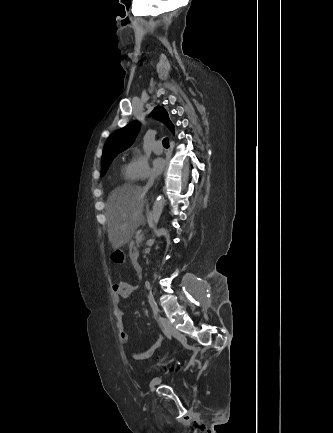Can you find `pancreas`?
<instances>
[{
    "label": "pancreas",
    "mask_w": 333,
    "mask_h": 433,
    "mask_svg": "<svg viewBox=\"0 0 333 433\" xmlns=\"http://www.w3.org/2000/svg\"><path fill=\"white\" fill-rule=\"evenodd\" d=\"M140 247V242H131L129 245V257L133 263V265L137 264V259L139 256L138 248Z\"/></svg>",
    "instance_id": "1"
}]
</instances>
